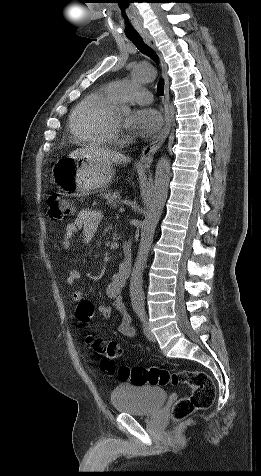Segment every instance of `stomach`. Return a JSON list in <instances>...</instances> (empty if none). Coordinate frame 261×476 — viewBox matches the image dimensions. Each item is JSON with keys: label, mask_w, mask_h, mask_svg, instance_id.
Segmentation results:
<instances>
[{"label": "stomach", "mask_w": 261, "mask_h": 476, "mask_svg": "<svg viewBox=\"0 0 261 476\" xmlns=\"http://www.w3.org/2000/svg\"><path fill=\"white\" fill-rule=\"evenodd\" d=\"M115 174L111 163L99 162L81 156H64L53 169L54 181L65 195H90L106 187Z\"/></svg>", "instance_id": "stomach-1"}]
</instances>
